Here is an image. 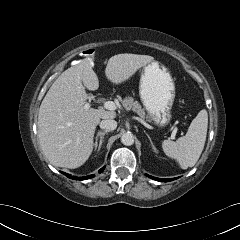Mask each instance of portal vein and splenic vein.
<instances>
[{
    "label": "portal vein and splenic vein",
    "mask_w": 240,
    "mask_h": 240,
    "mask_svg": "<svg viewBox=\"0 0 240 240\" xmlns=\"http://www.w3.org/2000/svg\"><path fill=\"white\" fill-rule=\"evenodd\" d=\"M103 106H104L105 109H108L110 111H114L117 108L116 104L113 101H106V102H104ZM84 108L85 109H89L90 108V104L89 103H85Z\"/></svg>",
    "instance_id": "1"
}]
</instances>
